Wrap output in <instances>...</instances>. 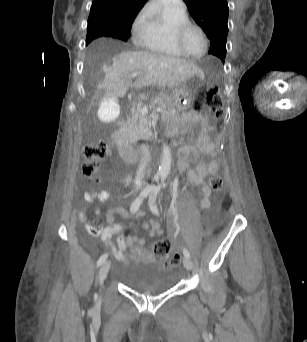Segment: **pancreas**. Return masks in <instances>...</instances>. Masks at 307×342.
<instances>
[{"label":"pancreas","instance_id":"obj_1","mask_svg":"<svg viewBox=\"0 0 307 342\" xmlns=\"http://www.w3.org/2000/svg\"><path fill=\"white\" fill-rule=\"evenodd\" d=\"M172 97L161 96V98H155L150 104V108H162L163 116H178L177 110L170 108L169 104H172ZM131 124L135 126V134H140L142 138H146L147 134L144 132V128L147 126L146 116H142L139 112H132Z\"/></svg>","mask_w":307,"mask_h":342}]
</instances>
